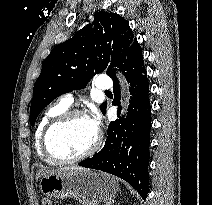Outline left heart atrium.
<instances>
[{
    "mask_svg": "<svg viewBox=\"0 0 212 205\" xmlns=\"http://www.w3.org/2000/svg\"><path fill=\"white\" fill-rule=\"evenodd\" d=\"M89 123L91 124L93 130L98 133L100 129V119L98 115L94 114L91 117L88 118Z\"/></svg>",
    "mask_w": 212,
    "mask_h": 205,
    "instance_id": "left-heart-atrium-1",
    "label": "left heart atrium"
}]
</instances>
